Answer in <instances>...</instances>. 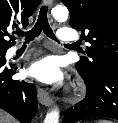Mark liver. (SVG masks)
<instances>
[{
	"label": "liver",
	"instance_id": "6515ba94",
	"mask_svg": "<svg viewBox=\"0 0 118 123\" xmlns=\"http://www.w3.org/2000/svg\"><path fill=\"white\" fill-rule=\"evenodd\" d=\"M0 123H16L15 119L0 109Z\"/></svg>",
	"mask_w": 118,
	"mask_h": 123
}]
</instances>
